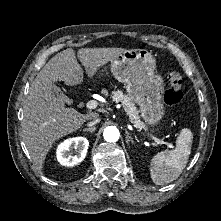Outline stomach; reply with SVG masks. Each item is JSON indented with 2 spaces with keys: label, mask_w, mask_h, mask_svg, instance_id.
Instances as JSON below:
<instances>
[{
  "label": "stomach",
  "mask_w": 221,
  "mask_h": 221,
  "mask_svg": "<svg viewBox=\"0 0 221 221\" xmlns=\"http://www.w3.org/2000/svg\"><path fill=\"white\" fill-rule=\"evenodd\" d=\"M111 72L139 105L145 123L152 127L158 125L165 109L161 102L164 81L156 70L152 53L146 49L126 50L111 61Z\"/></svg>",
  "instance_id": "obj_1"
}]
</instances>
